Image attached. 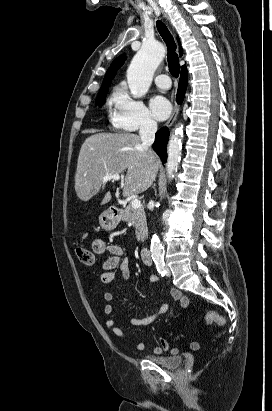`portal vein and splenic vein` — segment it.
Masks as SVG:
<instances>
[{
    "label": "portal vein and splenic vein",
    "instance_id": "18ae733b",
    "mask_svg": "<svg viewBox=\"0 0 272 411\" xmlns=\"http://www.w3.org/2000/svg\"><path fill=\"white\" fill-rule=\"evenodd\" d=\"M109 180H120V175L116 174V173H113V174H106L105 176H103V181L104 182H107ZM130 204L134 209H137L141 206V202L137 198L132 199Z\"/></svg>",
    "mask_w": 272,
    "mask_h": 411
}]
</instances>
